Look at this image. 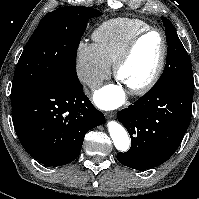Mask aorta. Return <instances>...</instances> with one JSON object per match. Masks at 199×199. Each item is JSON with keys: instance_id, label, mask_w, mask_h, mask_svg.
<instances>
[{"instance_id": "obj_1", "label": "aorta", "mask_w": 199, "mask_h": 199, "mask_svg": "<svg viewBox=\"0 0 199 199\" xmlns=\"http://www.w3.org/2000/svg\"><path fill=\"white\" fill-rule=\"evenodd\" d=\"M108 130L116 149L126 152L130 148V139L123 126L118 122L110 121L108 123Z\"/></svg>"}]
</instances>
